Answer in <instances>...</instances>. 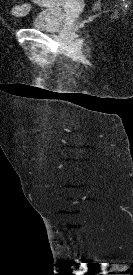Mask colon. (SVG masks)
I'll return each mask as SVG.
<instances>
[{"label": "colon", "mask_w": 133, "mask_h": 275, "mask_svg": "<svg viewBox=\"0 0 133 275\" xmlns=\"http://www.w3.org/2000/svg\"><path fill=\"white\" fill-rule=\"evenodd\" d=\"M28 11H29V5H27V4L18 5L13 8V14L16 16L24 15Z\"/></svg>", "instance_id": "5ec220e1"}]
</instances>
